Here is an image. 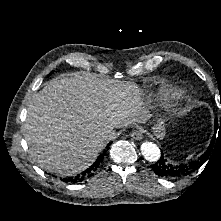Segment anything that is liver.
<instances>
[{"instance_id": "1", "label": "liver", "mask_w": 221, "mask_h": 221, "mask_svg": "<svg viewBox=\"0 0 221 221\" xmlns=\"http://www.w3.org/2000/svg\"><path fill=\"white\" fill-rule=\"evenodd\" d=\"M149 117L136 84L75 74L55 79L34 94L24 135L42 169L71 176L93 163L108 142L106 130L144 123Z\"/></svg>"}]
</instances>
